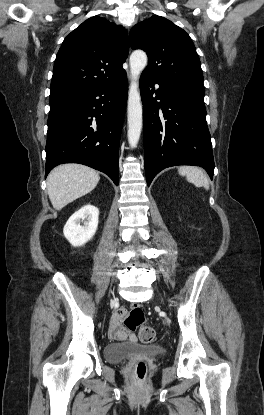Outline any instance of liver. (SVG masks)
I'll list each match as a JSON object with an SVG mask.
<instances>
[{
	"instance_id": "obj_1",
	"label": "liver",
	"mask_w": 264,
	"mask_h": 415,
	"mask_svg": "<svg viewBox=\"0 0 264 415\" xmlns=\"http://www.w3.org/2000/svg\"><path fill=\"white\" fill-rule=\"evenodd\" d=\"M100 180L94 169L80 164L55 167L47 177L49 199L56 210L91 192Z\"/></svg>"
}]
</instances>
